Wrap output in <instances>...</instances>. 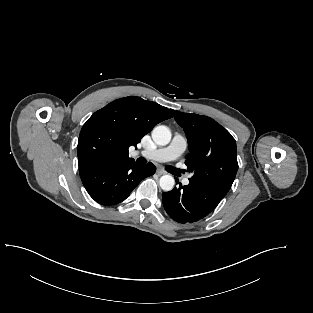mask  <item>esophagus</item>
Instances as JSON below:
<instances>
[{
	"label": "esophagus",
	"mask_w": 313,
	"mask_h": 313,
	"mask_svg": "<svg viewBox=\"0 0 313 313\" xmlns=\"http://www.w3.org/2000/svg\"><path fill=\"white\" fill-rule=\"evenodd\" d=\"M156 173H157L159 176L166 174V172H165L163 169H160V168L157 169Z\"/></svg>",
	"instance_id": "esophagus-1"
}]
</instances>
